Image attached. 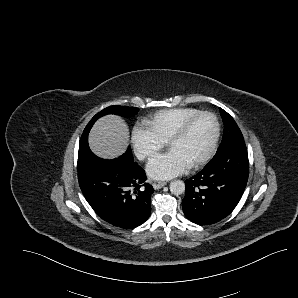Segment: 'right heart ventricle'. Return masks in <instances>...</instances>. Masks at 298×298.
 Wrapping results in <instances>:
<instances>
[{
	"instance_id": "right-heart-ventricle-1",
	"label": "right heart ventricle",
	"mask_w": 298,
	"mask_h": 298,
	"mask_svg": "<svg viewBox=\"0 0 298 298\" xmlns=\"http://www.w3.org/2000/svg\"><path fill=\"white\" fill-rule=\"evenodd\" d=\"M200 110L192 107H179L159 110L154 113L146 122L150 130L161 140L166 137L183 120L199 113Z\"/></svg>"
}]
</instances>
